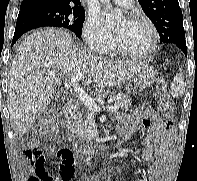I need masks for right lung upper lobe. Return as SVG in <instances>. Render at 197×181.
I'll use <instances>...</instances> for the list:
<instances>
[{
	"mask_svg": "<svg viewBox=\"0 0 197 181\" xmlns=\"http://www.w3.org/2000/svg\"><path fill=\"white\" fill-rule=\"evenodd\" d=\"M37 4L56 5L63 7H81L80 0H23L20 9L26 10Z\"/></svg>",
	"mask_w": 197,
	"mask_h": 181,
	"instance_id": "obj_1",
	"label": "right lung upper lobe"
}]
</instances>
